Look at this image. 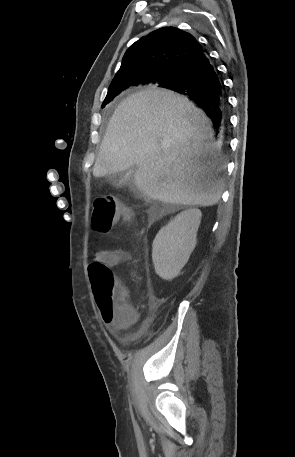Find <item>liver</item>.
<instances>
[{
    "instance_id": "1",
    "label": "liver",
    "mask_w": 295,
    "mask_h": 457,
    "mask_svg": "<svg viewBox=\"0 0 295 457\" xmlns=\"http://www.w3.org/2000/svg\"><path fill=\"white\" fill-rule=\"evenodd\" d=\"M213 130L206 114L166 89L128 96L115 109L93 166L95 177L136 165L146 197L167 204L212 206L222 194Z\"/></svg>"
}]
</instances>
